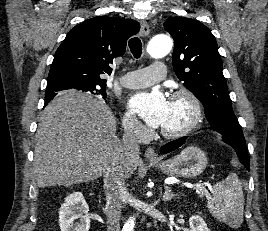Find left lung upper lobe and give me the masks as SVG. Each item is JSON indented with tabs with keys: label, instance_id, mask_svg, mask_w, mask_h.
Listing matches in <instances>:
<instances>
[{
	"label": "left lung upper lobe",
	"instance_id": "5c2ea615",
	"mask_svg": "<svg viewBox=\"0 0 268 231\" xmlns=\"http://www.w3.org/2000/svg\"><path fill=\"white\" fill-rule=\"evenodd\" d=\"M164 28L175 41L172 56L174 71L204 105L210 129L220 133L232 147H246L222 73L218 46L210 29L186 17L168 18Z\"/></svg>",
	"mask_w": 268,
	"mask_h": 231
}]
</instances>
